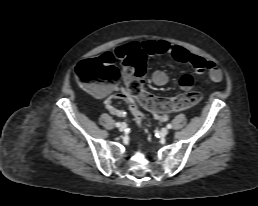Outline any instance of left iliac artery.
<instances>
[{"label":"left iliac artery","instance_id":"1","mask_svg":"<svg viewBox=\"0 0 258 206\" xmlns=\"http://www.w3.org/2000/svg\"><path fill=\"white\" fill-rule=\"evenodd\" d=\"M167 128H168V129H171V128H172V125H171V124H167Z\"/></svg>","mask_w":258,"mask_h":206}]
</instances>
